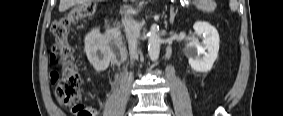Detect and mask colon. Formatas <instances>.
<instances>
[{"instance_id": "obj_1", "label": "colon", "mask_w": 283, "mask_h": 116, "mask_svg": "<svg viewBox=\"0 0 283 116\" xmlns=\"http://www.w3.org/2000/svg\"><path fill=\"white\" fill-rule=\"evenodd\" d=\"M94 11V1H80L52 24V33L56 38V43L51 56L58 58L61 65L60 75L55 73L50 76L55 86V96L60 104L73 106V113L77 116H91L92 109L85 105H77L81 99V81L73 60L68 36L73 25L90 17Z\"/></svg>"}]
</instances>
